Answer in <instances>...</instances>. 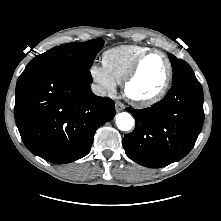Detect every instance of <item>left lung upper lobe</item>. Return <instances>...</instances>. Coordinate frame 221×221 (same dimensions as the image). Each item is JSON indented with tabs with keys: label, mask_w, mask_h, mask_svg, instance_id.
<instances>
[{
	"label": "left lung upper lobe",
	"mask_w": 221,
	"mask_h": 221,
	"mask_svg": "<svg viewBox=\"0 0 221 221\" xmlns=\"http://www.w3.org/2000/svg\"><path fill=\"white\" fill-rule=\"evenodd\" d=\"M169 59L173 69L172 84H175L185 78L195 77L192 68L182 59H177L174 55L169 54Z\"/></svg>",
	"instance_id": "1"
}]
</instances>
